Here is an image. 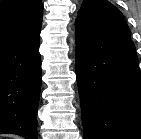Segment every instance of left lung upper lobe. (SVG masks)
Segmentation results:
<instances>
[{
  "mask_svg": "<svg viewBox=\"0 0 141 139\" xmlns=\"http://www.w3.org/2000/svg\"><path fill=\"white\" fill-rule=\"evenodd\" d=\"M76 22L106 35L130 39L122 13L108 0H84Z\"/></svg>",
  "mask_w": 141,
  "mask_h": 139,
  "instance_id": "left-lung-upper-lobe-1",
  "label": "left lung upper lobe"
}]
</instances>
